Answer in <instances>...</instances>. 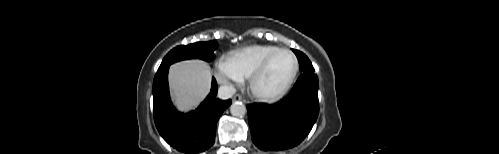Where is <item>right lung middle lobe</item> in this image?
<instances>
[{"mask_svg": "<svg viewBox=\"0 0 499 154\" xmlns=\"http://www.w3.org/2000/svg\"><path fill=\"white\" fill-rule=\"evenodd\" d=\"M217 46L218 43L215 41L197 42L190 45L177 46L164 57L159 69L169 67L174 62L191 58L211 61L215 56L213 52Z\"/></svg>", "mask_w": 499, "mask_h": 154, "instance_id": "obj_1", "label": "right lung middle lobe"}]
</instances>
